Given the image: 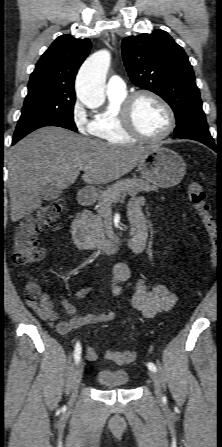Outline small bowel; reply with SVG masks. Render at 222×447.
I'll list each match as a JSON object with an SVG mask.
<instances>
[{"label":"small bowel","instance_id":"1","mask_svg":"<svg viewBox=\"0 0 222 447\" xmlns=\"http://www.w3.org/2000/svg\"><path fill=\"white\" fill-rule=\"evenodd\" d=\"M146 204L143 196L131 199L128 206V218L135 225V234L132 242L143 251L146 246L147 226L141 209ZM137 252V251H134ZM131 268L125 263H117L113 268V279L111 282V292L114 296H121V283L131 278ZM94 285L89 284L75 293L78 299H85L94 292ZM127 301L145 318H152L159 312H166L173 308L176 296L170 289L162 283H152L145 279H139L135 285V291L128 296ZM27 306L33 310L42 320L51 324L56 323V329L60 334L69 333L72 330L82 328L87 325L97 323H107L116 319V314L112 311L98 313L90 312L79 315L76 307L66 298L60 300V306L64 310L66 319L60 320V314L55 310L54 303L48 292H43L36 302H26ZM86 357L89 360H96L97 356L92 348L86 349Z\"/></svg>","mask_w":222,"mask_h":447}]
</instances>
